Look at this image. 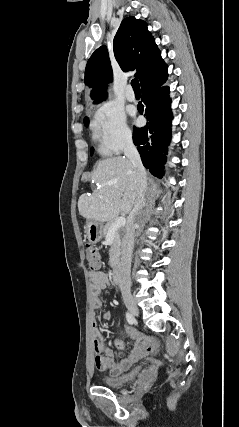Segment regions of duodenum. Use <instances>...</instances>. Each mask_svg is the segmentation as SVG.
I'll use <instances>...</instances> for the list:
<instances>
[{"label":"duodenum","mask_w":239,"mask_h":427,"mask_svg":"<svg viewBox=\"0 0 239 427\" xmlns=\"http://www.w3.org/2000/svg\"><path fill=\"white\" fill-rule=\"evenodd\" d=\"M121 273H122V269H121V265L119 262H114L113 266H112V278L115 282H118L121 278Z\"/></svg>","instance_id":"1"}]
</instances>
